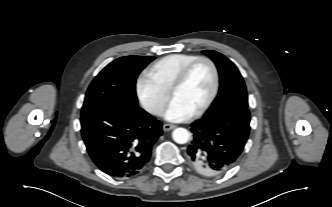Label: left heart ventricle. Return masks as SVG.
<instances>
[{"label": "left heart ventricle", "mask_w": 332, "mask_h": 207, "mask_svg": "<svg viewBox=\"0 0 332 207\" xmlns=\"http://www.w3.org/2000/svg\"><path fill=\"white\" fill-rule=\"evenodd\" d=\"M213 86V74L208 64H197L185 83L177 89L172 98L180 101L192 112L196 111L208 98Z\"/></svg>", "instance_id": "1"}]
</instances>
